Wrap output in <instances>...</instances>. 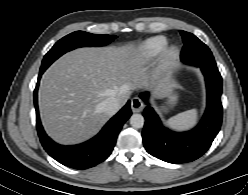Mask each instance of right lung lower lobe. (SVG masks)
Returning <instances> with one entry per match:
<instances>
[{
	"label": "right lung lower lobe",
	"instance_id": "right-lung-lower-lobe-1",
	"mask_svg": "<svg viewBox=\"0 0 248 195\" xmlns=\"http://www.w3.org/2000/svg\"><path fill=\"white\" fill-rule=\"evenodd\" d=\"M45 70L44 68L40 69L38 83L34 91L37 131L43 148L52 158L70 168L87 169L94 167L111 154L123 124L131 115L130 101L90 140L73 146L57 144L45 133L38 113L37 91L40 77Z\"/></svg>",
	"mask_w": 248,
	"mask_h": 195
}]
</instances>
